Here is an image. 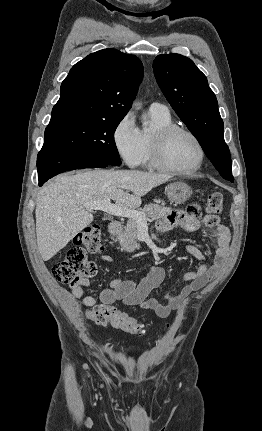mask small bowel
<instances>
[{"label": "small bowel", "mask_w": 262, "mask_h": 431, "mask_svg": "<svg viewBox=\"0 0 262 431\" xmlns=\"http://www.w3.org/2000/svg\"><path fill=\"white\" fill-rule=\"evenodd\" d=\"M176 225L188 231H196L204 226L214 230L213 243L216 248L215 257L209 263L201 251L195 246H188L187 252L197 258L201 264L197 271L185 275L186 283L169 290L164 295V302L151 296V293L163 282L165 271L158 266H149L145 276L139 281L113 279L110 288L105 289L99 296V303L91 296H85L82 288L72 290L75 298L81 299L88 307V315L100 313L108 315L114 309V303L121 302L125 306H137L141 309L153 310L160 318H167L172 311L179 309L185 300L205 286L213 276L224 267L229 253L230 232L216 215L204 214L197 210L193 215H186L180 211H172L170 215L159 222L158 229L166 232ZM105 262L111 258L104 256ZM107 324V322L103 323Z\"/></svg>", "instance_id": "1"}]
</instances>
